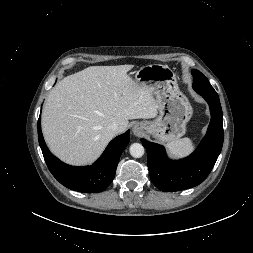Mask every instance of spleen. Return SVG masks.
Here are the masks:
<instances>
[{
  "label": "spleen",
  "instance_id": "3e777b00",
  "mask_svg": "<svg viewBox=\"0 0 253 253\" xmlns=\"http://www.w3.org/2000/svg\"><path fill=\"white\" fill-rule=\"evenodd\" d=\"M167 148L173 157L179 158L190 154L195 145L190 138H182L167 144Z\"/></svg>",
  "mask_w": 253,
  "mask_h": 253
}]
</instances>
